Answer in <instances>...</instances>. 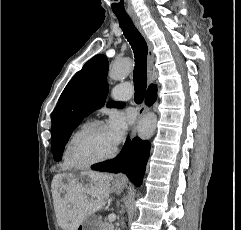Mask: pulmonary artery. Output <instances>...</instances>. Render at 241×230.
I'll return each mask as SVG.
<instances>
[{"mask_svg":"<svg viewBox=\"0 0 241 230\" xmlns=\"http://www.w3.org/2000/svg\"><path fill=\"white\" fill-rule=\"evenodd\" d=\"M132 95V87L129 83L117 85L112 90V96L117 100H127Z\"/></svg>","mask_w":241,"mask_h":230,"instance_id":"obj_1","label":"pulmonary artery"}]
</instances>
